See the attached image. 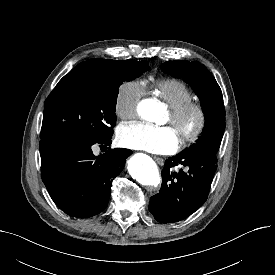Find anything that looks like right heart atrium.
<instances>
[{
    "label": "right heart atrium",
    "mask_w": 275,
    "mask_h": 275,
    "mask_svg": "<svg viewBox=\"0 0 275 275\" xmlns=\"http://www.w3.org/2000/svg\"><path fill=\"white\" fill-rule=\"evenodd\" d=\"M144 95L145 88L139 81L130 80L122 83L115 95V114L123 120L135 117L138 104Z\"/></svg>",
    "instance_id": "right-heart-atrium-1"
}]
</instances>
